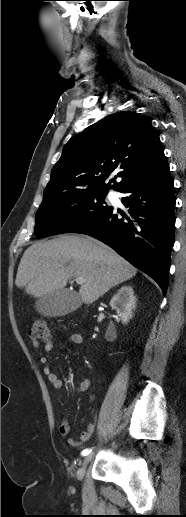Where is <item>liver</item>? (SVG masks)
I'll list each match as a JSON object with an SVG mask.
<instances>
[{
	"instance_id": "6515ba94",
	"label": "liver",
	"mask_w": 186,
	"mask_h": 517,
	"mask_svg": "<svg viewBox=\"0 0 186 517\" xmlns=\"http://www.w3.org/2000/svg\"><path fill=\"white\" fill-rule=\"evenodd\" d=\"M136 273L137 269L109 246L88 236L64 235L27 248L15 284L41 298L64 290L69 279L83 277L86 281L79 296L82 302L91 304Z\"/></svg>"
}]
</instances>
